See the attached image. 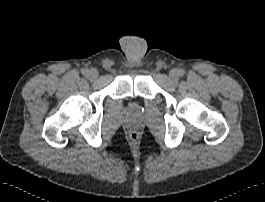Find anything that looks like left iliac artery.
I'll return each instance as SVG.
<instances>
[{"label":"left iliac artery","instance_id":"1","mask_svg":"<svg viewBox=\"0 0 265 202\" xmlns=\"http://www.w3.org/2000/svg\"><path fill=\"white\" fill-rule=\"evenodd\" d=\"M184 74H185V71L184 70H182V69H179L178 70V75L179 76H184Z\"/></svg>","mask_w":265,"mask_h":202}]
</instances>
